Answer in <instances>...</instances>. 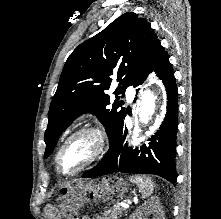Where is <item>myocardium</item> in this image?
I'll return each instance as SVG.
<instances>
[{
  "label": "myocardium",
  "instance_id": "myocardium-1",
  "mask_svg": "<svg viewBox=\"0 0 221 219\" xmlns=\"http://www.w3.org/2000/svg\"><path fill=\"white\" fill-rule=\"evenodd\" d=\"M91 136L94 141V149L89 157V159L77 170L71 173H64L60 170L59 167V161L60 156L63 152V150L66 148V146L75 138H78L80 136ZM108 145V136L103 127L100 125H89L85 126L83 128H80L73 133H71L60 145L59 149L57 150L56 156H55V167L59 174L67 177L75 176L82 171L86 170L87 168L91 167L95 162H97L100 157L104 154L106 148Z\"/></svg>",
  "mask_w": 221,
  "mask_h": 219
}]
</instances>
